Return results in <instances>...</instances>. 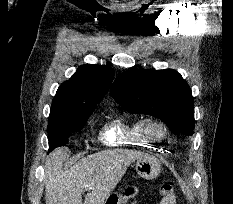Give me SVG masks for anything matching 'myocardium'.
<instances>
[{"label": "myocardium", "mask_w": 233, "mask_h": 204, "mask_svg": "<svg viewBox=\"0 0 233 204\" xmlns=\"http://www.w3.org/2000/svg\"><path fill=\"white\" fill-rule=\"evenodd\" d=\"M141 131L150 140H162L168 135V127L164 121L156 117H146L141 121Z\"/></svg>", "instance_id": "f54148a6"}]
</instances>
